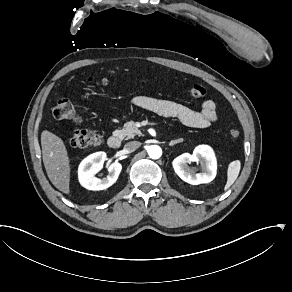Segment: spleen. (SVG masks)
Wrapping results in <instances>:
<instances>
[{"instance_id": "1", "label": "spleen", "mask_w": 292, "mask_h": 292, "mask_svg": "<svg viewBox=\"0 0 292 292\" xmlns=\"http://www.w3.org/2000/svg\"><path fill=\"white\" fill-rule=\"evenodd\" d=\"M241 168V163L239 160L231 162L228 166L227 171V183L225 185V190H227L237 179Z\"/></svg>"}]
</instances>
